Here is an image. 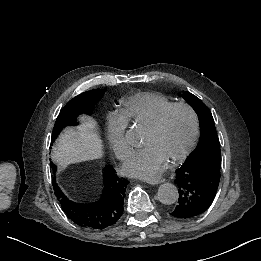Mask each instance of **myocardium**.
I'll use <instances>...</instances> for the list:
<instances>
[{
    "instance_id": "myocardium-1",
    "label": "myocardium",
    "mask_w": 261,
    "mask_h": 261,
    "mask_svg": "<svg viewBox=\"0 0 261 261\" xmlns=\"http://www.w3.org/2000/svg\"><path fill=\"white\" fill-rule=\"evenodd\" d=\"M170 108H181L187 110L191 114L193 119V131L187 145L179 153L165 159V161L168 163L179 161L182 160L184 157H186V155L191 151V149L197 143V140L200 135V129H201L200 116L198 112L191 105L184 102H170L165 106H163L162 108H160L152 116L142 120V123L147 124L148 126H154L159 120V118L161 117V115Z\"/></svg>"
}]
</instances>
